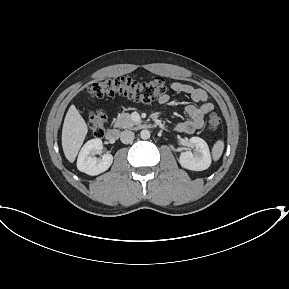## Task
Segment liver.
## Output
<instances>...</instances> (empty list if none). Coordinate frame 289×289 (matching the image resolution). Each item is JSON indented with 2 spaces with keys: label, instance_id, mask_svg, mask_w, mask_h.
Here are the masks:
<instances>
[{
  "label": "liver",
  "instance_id": "obj_1",
  "mask_svg": "<svg viewBox=\"0 0 289 289\" xmlns=\"http://www.w3.org/2000/svg\"><path fill=\"white\" fill-rule=\"evenodd\" d=\"M88 127L74 105H71L65 116L62 129V148L67 160L71 163L75 158L87 135Z\"/></svg>",
  "mask_w": 289,
  "mask_h": 289
}]
</instances>
